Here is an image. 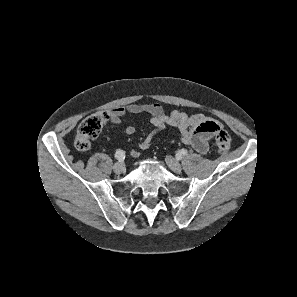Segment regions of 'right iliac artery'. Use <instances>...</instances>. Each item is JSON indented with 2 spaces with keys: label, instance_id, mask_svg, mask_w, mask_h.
I'll list each match as a JSON object with an SVG mask.
<instances>
[{
  "label": "right iliac artery",
  "instance_id": "1",
  "mask_svg": "<svg viewBox=\"0 0 297 297\" xmlns=\"http://www.w3.org/2000/svg\"><path fill=\"white\" fill-rule=\"evenodd\" d=\"M115 158L118 160H123L125 158V152L123 150L116 151Z\"/></svg>",
  "mask_w": 297,
  "mask_h": 297
}]
</instances>
